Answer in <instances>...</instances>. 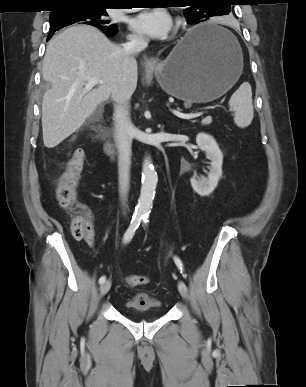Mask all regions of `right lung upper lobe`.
Returning a JSON list of instances; mask_svg holds the SVG:
<instances>
[{
	"label": "right lung upper lobe",
	"instance_id": "cb5924a9",
	"mask_svg": "<svg viewBox=\"0 0 306 387\" xmlns=\"http://www.w3.org/2000/svg\"><path fill=\"white\" fill-rule=\"evenodd\" d=\"M57 9L51 13L60 11L59 9L72 6H99L105 7L110 4V0H55Z\"/></svg>",
	"mask_w": 306,
	"mask_h": 387
}]
</instances>
